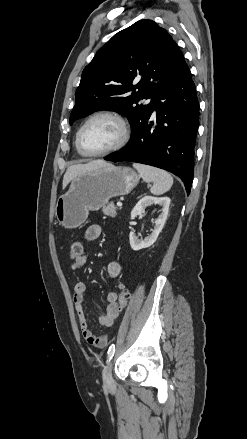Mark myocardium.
<instances>
[{
    "label": "myocardium",
    "instance_id": "f54148a6",
    "mask_svg": "<svg viewBox=\"0 0 247 439\" xmlns=\"http://www.w3.org/2000/svg\"><path fill=\"white\" fill-rule=\"evenodd\" d=\"M100 117H108L113 120H115L121 129V137L119 141L112 146L111 148L101 151V152H88L84 149L82 145V134L86 126L93 121L94 119L100 118ZM131 138V128L129 125V122L127 119L120 113L114 112V111H100L92 114L89 118L86 119V121L81 125L79 128L77 135H76V144L80 151V153L87 157H102L106 156L108 154L114 153L120 149H122L130 140Z\"/></svg>",
    "mask_w": 247,
    "mask_h": 439
}]
</instances>
